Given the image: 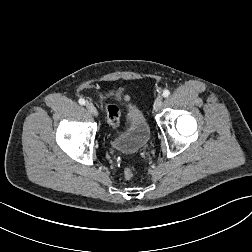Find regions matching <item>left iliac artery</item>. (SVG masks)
I'll return each mask as SVG.
<instances>
[{
	"instance_id": "1",
	"label": "left iliac artery",
	"mask_w": 252,
	"mask_h": 252,
	"mask_svg": "<svg viewBox=\"0 0 252 252\" xmlns=\"http://www.w3.org/2000/svg\"><path fill=\"white\" fill-rule=\"evenodd\" d=\"M164 97H168L170 95V91L165 89L162 94Z\"/></svg>"
}]
</instances>
